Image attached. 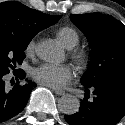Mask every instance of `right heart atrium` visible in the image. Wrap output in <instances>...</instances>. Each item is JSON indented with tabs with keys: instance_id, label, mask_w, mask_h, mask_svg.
<instances>
[{
	"instance_id": "d8ad5b80",
	"label": "right heart atrium",
	"mask_w": 125,
	"mask_h": 125,
	"mask_svg": "<svg viewBox=\"0 0 125 125\" xmlns=\"http://www.w3.org/2000/svg\"><path fill=\"white\" fill-rule=\"evenodd\" d=\"M35 49H36V41L35 39H31L25 47L26 55H29V56L33 55L35 52Z\"/></svg>"
}]
</instances>
